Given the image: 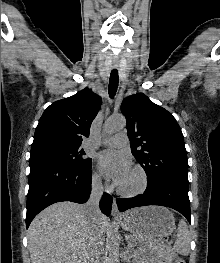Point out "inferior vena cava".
<instances>
[{
  "label": "inferior vena cava",
  "instance_id": "1",
  "mask_svg": "<svg viewBox=\"0 0 220 263\" xmlns=\"http://www.w3.org/2000/svg\"><path fill=\"white\" fill-rule=\"evenodd\" d=\"M103 194V186L100 178L92 181L90 198L85 204L86 212L91 220L90 250L87 263H100V256L104 251V234L97 226L101 215L99 202Z\"/></svg>",
  "mask_w": 220,
  "mask_h": 263
}]
</instances>
